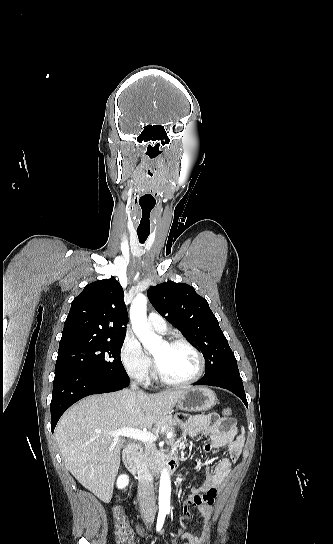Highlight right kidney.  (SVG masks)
<instances>
[{"mask_svg": "<svg viewBox=\"0 0 333 544\" xmlns=\"http://www.w3.org/2000/svg\"><path fill=\"white\" fill-rule=\"evenodd\" d=\"M129 483V478L127 475H120L117 479V487L119 489L125 488Z\"/></svg>", "mask_w": 333, "mask_h": 544, "instance_id": "right-kidney-1", "label": "right kidney"}]
</instances>
